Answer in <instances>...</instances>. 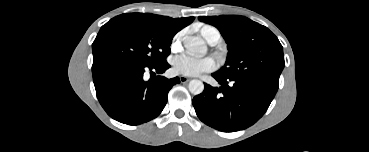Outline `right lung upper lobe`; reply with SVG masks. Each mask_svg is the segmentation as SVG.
I'll list each match as a JSON object with an SVG mask.
<instances>
[{
	"instance_id": "1",
	"label": "right lung upper lobe",
	"mask_w": 369,
	"mask_h": 152,
	"mask_svg": "<svg viewBox=\"0 0 369 152\" xmlns=\"http://www.w3.org/2000/svg\"><path fill=\"white\" fill-rule=\"evenodd\" d=\"M123 15L140 25L172 35H175L182 28L191 24L194 20V17L173 19L170 17L159 16L150 13H125Z\"/></svg>"
}]
</instances>
